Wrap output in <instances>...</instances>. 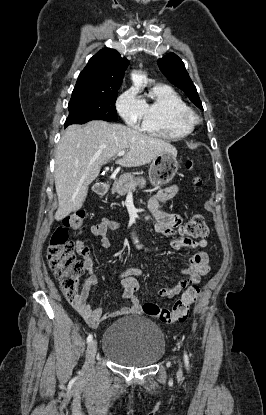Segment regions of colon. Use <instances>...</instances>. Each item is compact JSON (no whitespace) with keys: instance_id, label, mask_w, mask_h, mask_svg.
Instances as JSON below:
<instances>
[{"instance_id":"colon-1","label":"colon","mask_w":266,"mask_h":415,"mask_svg":"<svg viewBox=\"0 0 266 415\" xmlns=\"http://www.w3.org/2000/svg\"><path fill=\"white\" fill-rule=\"evenodd\" d=\"M186 168L192 170L194 162L187 160ZM194 182L197 186L201 184L199 177H195ZM84 218L85 213L83 211L67 216L63 220L62 226L53 232L47 248L49 267L60 280L61 290L69 302H73L79 297V279L84 272L85 266L75 256L74 243L69 240L68 229L80 230ZM208 231L205 219L200 214L193 216L180 228L182 234L196 239L205 238L208 235ZM198 295L199 288L192 286L174 302L170 309L148 302L141 306V311L143 314L157 318L166 324L184 322L188 317L191 305L196 301Z\"/></svg>"}]
</instances>
